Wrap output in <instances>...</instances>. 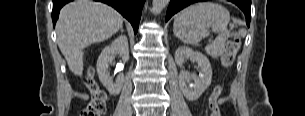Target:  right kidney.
I'll return each mask as SVG.
<instances>
[{
    "instance_id": "1",
    "label": "right kidney",
    "mask_w": 305,
    "mask_h": 116,
    "mask_svg": "<svg viewBox=\"0 0 305 116\" xmlns=\"http://www.w3.org/2000/svg\"><path fill=\"white\" fill-rule=\"evenodd\" d=\"M117 53L124 63L129 60L128 40L125 35L117 37L109 46H106L97 60L99 79L111 95H118L124 82V76L119 75L114 84L108 72L109 63L113 61Z\"/></svg>"
}]
</instances>
